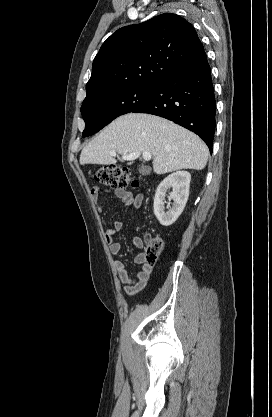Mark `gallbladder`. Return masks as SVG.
Wrapping results in <instances>:
<instances>
[{
	"label": "gallbladder",
	"instance_id": "gallbladder-1",
	"mask_svg": "<svg viewBox=\"0 0 272 417\" xmlns=\"http://www.w3.org/2000/svg\"><path fill=\"white\" fill-rule=\"evenodd\" d=\"M151 172V169L148 166H140L139 167V173L142 175H149Z\"/></svg>",
	"mask_w": 272,
	"mask_h": 417
}]
</instances>
